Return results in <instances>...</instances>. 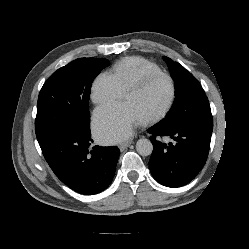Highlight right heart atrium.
<instances>
[{"label": "right heart atrium", "mask_w": 249, "mask_h": 249, "mask_svg": "<svg viewBox=\"0 0 249 249\" xmlns=\"http://www.w3.org/2000/svg\"><path fill=\"white\" fill-rule=\"evenodd\" d=\"M91 100L101 106L122 98L123 91L110 73L99 74L91 86Z\"/></svg>", "instance_id": "obj_1"}]
</instances>
